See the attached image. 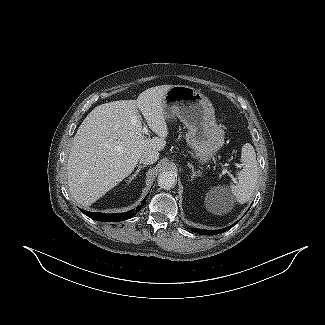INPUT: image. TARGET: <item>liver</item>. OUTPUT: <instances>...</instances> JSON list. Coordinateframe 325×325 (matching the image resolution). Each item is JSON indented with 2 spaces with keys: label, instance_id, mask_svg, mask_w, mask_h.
I'll use <instances>...</instances> for the list:
<instances>
[{
  "label": "liver",
  "instance_id": "1",
  "mask_svg": "<svg viewBox=\"0 0 325 325\" xmlns=\"http://www.w3.org/2000/svg\"><path fill=\"white\" fill-rule=\"evenodd\" d=\"M173 85L148 88L137 100H119L95 107L79 126L67 164L74 200L88 207L125 179L146 150L161 151L168 128L163 98ZM139 109L158 137L142 133Z\"/></svg>",
  "mask_w": 325,
  "mask_h": 325
}]
</instances>
